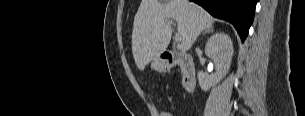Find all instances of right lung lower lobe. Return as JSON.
Listing matches in <instances>:
<instances>
[{
	"label": "right lung lower lobe",
	"mask_w": 305,
	"mask_h": 116,
	"mask_svg": "<svg viewBox=\"0 0 305 116\" xmlns=\"http://www.w3.org/2000/svg\"><path fill=\"white\" fill-rule=\"evenodd\" d=\"M216 18L229 21L236 28L242 41L248 35L258 0H191Z\"/></svg>",
	"instance_id": "1"
}]
</instances>
